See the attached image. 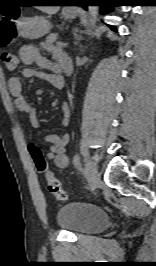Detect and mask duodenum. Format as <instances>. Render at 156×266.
Instances as JSON below:
<instances>
[{
    "mask_svg": "<svg viewBox=\"0 0 156 266\" xmlns=\"http://www.w3.org/2000/svg\"><path fill=\"white\" fill-rule=\"evenodd\" d=\"M62 68L65 75L70 76L73 70L72 62L69 58H66L62 62Z\"/></svg>",
    "mask_w": 156,
    "mask_h": 266,
    "instance_id": "1",
    "label": "duodenum"
}]
</instances>
